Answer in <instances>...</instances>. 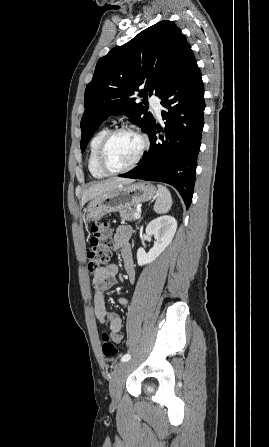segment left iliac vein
<instances>
[{
	"label": "left iliac vein",
	"instance_id": "1",
	"mask_svg": "<svg viewBox=\"0 0 269 447\" xmlns=\"http://www.w3.org/2000/svg\"><path fill=\"white\" fill-rule=\"evenodd\" d=\"M130 361L119 364L110 379L109 390L113 402L119 403L122 394V384L129 371Z\"/></svg>",
	"mask_w": 269,
	"mask_h": 447
}]
</instances>
